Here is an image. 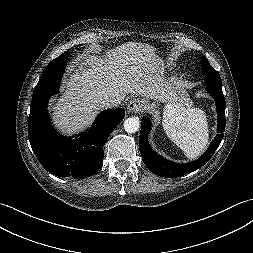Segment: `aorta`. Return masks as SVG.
I'll return each instance as SVG.
<instances>
[{"label": "aorta", "instance_id": "1", "mask_svg": "<svg viewBox=\"0 0 253 253\" xmlns=\"http://www.w3.org/2000/svg\"><path fill=\"white\" fill-rule=\"evenodd\" d=\"M140 128V121L137 117H130L124 121V129L127 133H135Z\"/></svg>", "mask_w": 253, "mask_h": 253}]
</instances>
